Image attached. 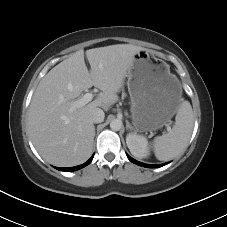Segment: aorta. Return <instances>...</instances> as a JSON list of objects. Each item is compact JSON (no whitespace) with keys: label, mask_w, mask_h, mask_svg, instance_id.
I'll use <instances>...</instances> for the list:
<instances>
[{"label":"aorta","mask_w":227,"mask_h":227,"mask_svg":"<svg viewBox=\"0 0 227 227\" xmlns=\"http://www.w3.org/2000/svg\"><path fill=\"white\" fill-rule=\"evenodd\" d=\"M121 127H122V122L118 119H114L110 123V128L113 131H119L121 129Z\"/></svg>","instance_id":"1"}]
</instances>
